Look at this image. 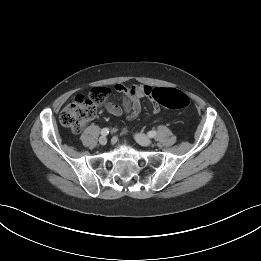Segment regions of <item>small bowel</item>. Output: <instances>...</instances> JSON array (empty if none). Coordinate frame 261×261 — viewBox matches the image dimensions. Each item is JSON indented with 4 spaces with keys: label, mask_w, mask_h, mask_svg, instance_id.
Listing matches in <instances>:
<instances>
[{
    "label": "small bowel",
    "mask_w": 261,
    "mask_h": 261,
    "mask_svg": "<svg viewBox=\"0 0 261 261\" xmlns=\"http://www.w3.org/2000/svg\"><path fill=\"white\" fill-rule=\"evenodd\" d=\"M115 90L124 96L122 105H118L113 102H107L105 104L106 110L114 116H121L122 114H126L130 119L136 118L141 112L140 98L143 96L151 97L153 91L150 86L139 84L131 86L116 84ZM153 111L155 113L159 111L157 105H154ZM125 131L126 130H124V132Z\"/></svg>",
    "instance_id": "1"
}]
</instances>
